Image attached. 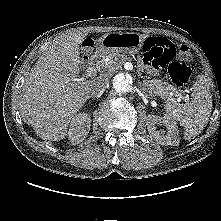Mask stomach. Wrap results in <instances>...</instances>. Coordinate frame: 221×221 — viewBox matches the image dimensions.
<instances>
[{"label":"stomach","instance_id":"stomach-1","mask_svg":"<svg viewBox=\"0 0 221 221\" xmlns=\"http://www.w3.org/2000/svg\"><path fill=\"white\" fill-rule=\"evenodd\" d=\"M147 36L136 32H113L103 35L98 40V50L104 54L107 53H138Z\"/></svg>","mask_w":221,"mask_h":221}]
</instances>
